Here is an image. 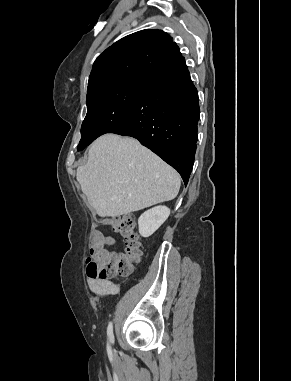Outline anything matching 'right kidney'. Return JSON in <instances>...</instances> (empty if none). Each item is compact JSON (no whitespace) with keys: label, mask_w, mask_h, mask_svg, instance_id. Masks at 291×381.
Masks as SVG:
<instances>
[{"label":"right kidney","mask_w":291,"mask_h":381,"mask_svg":"<svg viewBox=\"0 0 291 381\" xmlns=\"http://www.w3.org/2000/svg\"><path fill=\"white\" fill-rule=\"evenodd\" d=\"M170 209L156 206L144 212L138 219L139 233L142 237L151 236L169 217Z\"/></svg>","instance_id":"obj_1"}]
</instances>
